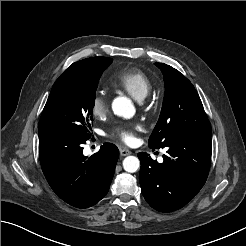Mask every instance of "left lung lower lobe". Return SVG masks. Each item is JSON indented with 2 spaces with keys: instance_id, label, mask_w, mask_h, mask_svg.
Wrapping results in <instances>:
<instances>
[{
  "instance_id": "1",
  "label": "left lung lower lobe",
  "mask_w": 246,
  "mask_h": 246,
  "mask_svg": "<svg viewBox=\"0 0 246 246\" xmlns=\"http://www.w3.org/2000/svg\"><path fill=\"white\" fill-rule=\"evenodd\" d=\"M163 163L147 153H138L141 162L139 181L148 204L160 212L182 208L206 182L211 164V137L175 138Z\"/></svg>"
}]
</instances>
